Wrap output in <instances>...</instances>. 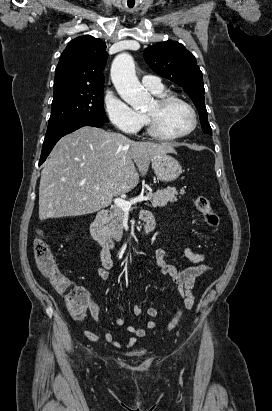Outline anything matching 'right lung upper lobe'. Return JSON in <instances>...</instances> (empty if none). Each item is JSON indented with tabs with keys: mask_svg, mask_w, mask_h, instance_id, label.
Segmentation results:
<instances>
[{
	"mask_svg": "<svg viewBox=\"0 0 272 411\" xmlns=\"http://www.w3.org/2000/svg\"><path fill=\"white\" fill-rule=\"evenodd\" d=\"M106 44L90 35L71 40L55 70L54 93L87 86L104 85Z\"/></svg>",
	"mask_w": 272,
	"mask_h": 411,
	"instance_id": "obj_1",
	"label": "right lung upper lobe"
}]
</instances>
